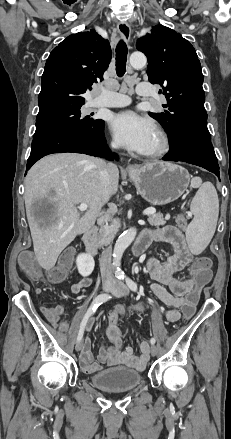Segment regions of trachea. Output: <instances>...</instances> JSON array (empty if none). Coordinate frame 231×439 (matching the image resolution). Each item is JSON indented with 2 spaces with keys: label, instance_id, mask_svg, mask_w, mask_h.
<instances>
[{
  "label": "trachea",
  "instance_id": "3493384b",
  "mask_svg": "<svg viewBox=\"0 0 231 439\" xmlns=\"http://www.w3.org/2000/svg\"><path fill=\"white\" fill-rule=\"evenodd\" d=\"M127 46L123 40H120L116 47V72L122 77L126 72Z\"/></svg>",
  "mask_w": 231,
  "mask_h": 439
}]
</instances>
